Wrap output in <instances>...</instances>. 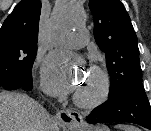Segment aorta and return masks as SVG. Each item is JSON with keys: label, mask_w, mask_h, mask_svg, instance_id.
<instances>
[{"label": "aorta", "mask_w": 151, "mask_h": 131, "mask_svg": "<svg viewBox=\"0 0 151 131\" xmlns=\"http://www.w3.org/2000/svg\"><path fill=\"white\" fill-rule=\"evenodd\" d=\"M73 13V11L56 12L53 17V26L58 30H71L76 24Z\"/></svg>", "instance_id": "762f6f07"}]
</instances>
